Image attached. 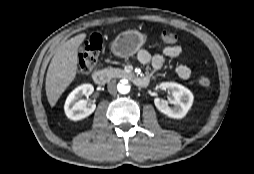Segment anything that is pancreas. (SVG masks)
I'll return each instance as SVG.
<instances>
[{
  "mask_svg": "<svg viewBox=\"0 0 254 174\" xmlns=\"http://www.w3.org/2000/svg\"><path fill=\"white\" fill-rule=\"evenodd\" d=\"M103 71L108 78H122L127 76V73L120 68L107 67Z\"/></svg>",
  "mask_w": 254,
  "mask_h": 174,
  "instance_id": "cf45deb5",
  "label": "pancreas"
}]
</instances>
